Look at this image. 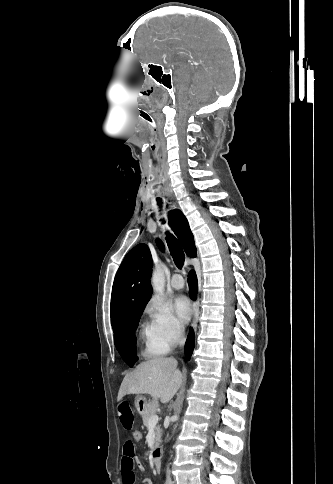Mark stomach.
<instances>
[{"label":"stomach","mask_w":333,"mask_h":484,"mask_svg":"<svg viewBox=\"0 0 333 484\" xmlns=\"http://www.w3.org/2000/svg\"><path fill=\"white\" fill-rule=\"evenodd\" d=\"M149 401L143 396H137L135 399V407L140 414H143L146 410Z\"/></svg>","instance_id":"obj_1"}]
</instances>
